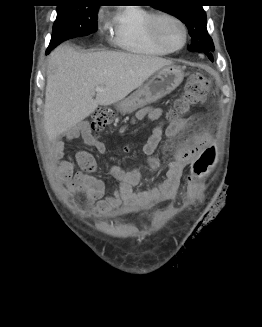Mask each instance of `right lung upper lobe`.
I'll list each match as a JSON object with an SVG mask.
<instances>
[{
  "instance_id": "1",
  "label": "right lung upper lobe",
  "mask_w": 262,
  "mask_h": 327,
  "mask_svg": "<svg viewBox=\"0 0 262 327\" xmlns=\"http://www.w3.org/2000/svg\"><path fill=\"white\" fill-rule=\"evenodd\" d=\"M79 1H86V0H59V2L64 3V2H79ZM92 1V0H89Z\"/></svg>"
}]
</instances>
